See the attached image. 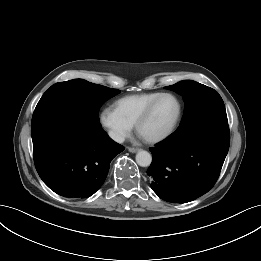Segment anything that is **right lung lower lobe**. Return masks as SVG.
I'll return each instance as SVG.
<instances>
[{
  "label": "right lung lower lobe",
  "mask_w": 261,
  "mask_h": 261,
  "mask_svg": "<svg viewBox=\"0 0 261 261\" xmlns=\"http://www.w3.org/2000/svg\"><path fill=\"white\" fill-rule=\"evenodd\" d=\"M34 163L43 182L64 197L87 198L104 183L124 147L88 116L54 112L32 122Z\"/></svg>",
  "instance_id": "obj_1"
}]
</instances>
